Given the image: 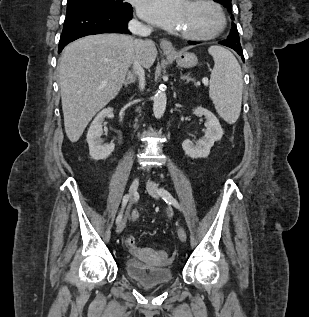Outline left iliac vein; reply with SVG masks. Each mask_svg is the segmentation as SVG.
<instances>
[{
    "instance_id": "obj_1",
    "label": "left iliac vein",
    "mask_w": 309,
    "mask_h": 317,
    "mask_svg": "<svg viewBox=\"0 0 309 317\" xmlns=\"http://www.w3.org/2000/svg\"><path fill=\"white\" fill-rule=\"evenodd\" d=\"M146 189L152 197L156 199L159 198L158 187L154 182L149 181L146 185ZM178 236L182 242H185L187 239L186 231L182 226L178 227Z\"/></svg>"
}]
</instances>
